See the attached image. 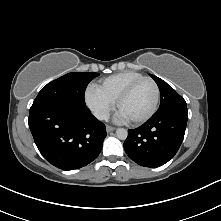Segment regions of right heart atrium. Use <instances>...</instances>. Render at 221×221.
<instances>
[{
  "label": "right heart atrium",
  "instance_id": "1",
  "mask_svg": "<svg viewBox=\"0 0 221 221\" xmlns=\"http://www.w3.org/2000/svg\"><path fill=\"white\" fill-rule=\"evenodd\" d=\"M85 102L99 120L108 118L114 102L104 96L97 88L88 87L84 94Z\"/></svg>",
  "mask_w": 221,
  "mask_h": 221
}]
</instances>
